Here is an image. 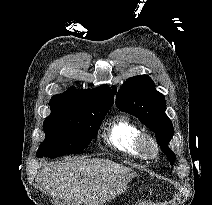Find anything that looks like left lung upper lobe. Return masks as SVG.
Wrapping results in <instances>:
<instances>
[{
    "label": "left lung upper lobe",
    "instance_id": "left-lung-upper-lobe-1",
    "mask_svg": "<svg viewBox=\"0 0 212 205\" xmlns=\"http://www.w3.org/2000/svg\"><path fill=\"white\" fill-rule=\"evenodd\" d=\"M112 88L116 94V87ZM116 106L137 117L155 133L157 143L173 165L175 155L168 148L174 134L173 125L165 114L164 96L156 91L151 78L147 75L128 78L117 92Z\"/></svg>",
    "mask_w": 212,
    "mask_h": 205
}]
</instances>
